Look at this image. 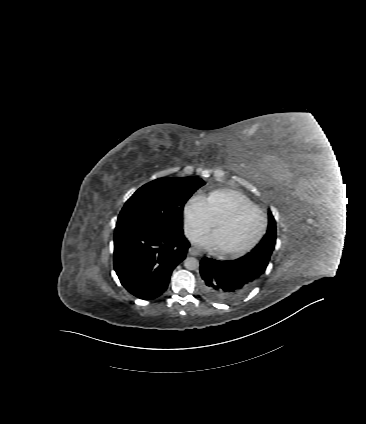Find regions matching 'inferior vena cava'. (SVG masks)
<instances>
[{
	"instance_id": "inferior-vena-cava-1",
	"label": "inferior vena cava",
	"mask_w": 366,
	"mask_h": 424,
	"mask_svg": "<svg viewBox=\"0 0 366 424\" xmlns=\"http://www.w3.org/2000/svg\"><path fill=\"white\" fill-rule=\"evenodd\" d=\"M184 232H185V236L186 238L192 242L195 243L198 240V236L197 233L194 229L190 228V227H185L184 228Z\"/></svg>"
}]
</instances>
